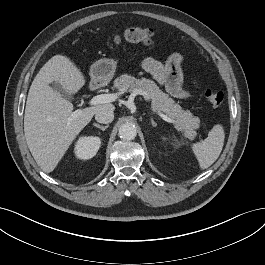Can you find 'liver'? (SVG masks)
<instances>
[{
	"label": "liver",
	"mask_w": 265,
	"mask_h": 265,
	"mask_svg": "<svg viewBox=\"0 0 265 265\" xmlns=\"http://www.w3.org/2000/svg\"><path fill=\"white\" fill-rule=\"evenodd\" d=\"M54 82L71 95L86 80L70 58L58 54L44 64L30 86L24 133L32 156L45 173L56 168L76 136L99 110L115 109L112 104H102L73 112V104L50 86Z\"/></svg>",
	"instance_id": "liver-1"
}]
</instances>
